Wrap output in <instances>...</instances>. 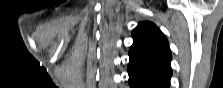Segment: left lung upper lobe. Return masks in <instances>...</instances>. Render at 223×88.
Returning <instances> with one entry per match:
<instances>
[{"label": "left lung upper lobe", "instance_id": "5c2ea615", "mask_svg": "<svg viewBox=\"0 0 223 88\" xmlns=\"http://www.w3.org/2000/svg\"><path fill=\"white\" fill-rule=\"evenodd\" d=\"M133 45L129 50L130 62L141 63L172 74L171 52L163 33L151 22H141L132 33Z\"/></svg>", "mask_w": 223, "mask_h": 88}]
</instances>
